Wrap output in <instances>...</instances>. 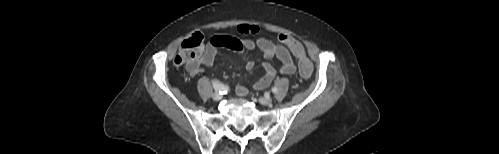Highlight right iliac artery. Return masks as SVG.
I'll list each match as a JSON object with an SVG mask.
<instances>
[{"label": "right iliac artery", "mask_w": 499, "mask_h": 154, "mask_svg": "<svg viewBox=\"0 0 499 154\" xmlns=\"http://www.w3.org/2000/svg\"><path fill=\"white\" fill-rule=\"evenodd\" d=\"M212 85L215 91L219 92L220 94H226L229 91V87L219 83L215 80H212Z\"/></svg>", "instance_id": "right-iliac-artery-1"}]
</instances>
